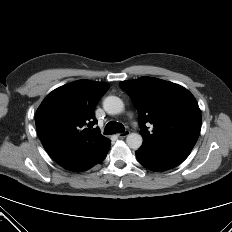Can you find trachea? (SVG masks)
<instances>
[{"instance_id": "1", "label": "trachea", "mask_w": 232, "mask_h": 232, "mask_svg": "<svg viewBox=\"0 0 232 232\" xmlns=\"http://www.w3.org/2000/svg\"><path fill=\"white\" fill-rule=\"evenodd\" d=\"M124 126L121 123H117L115 121H110L105 127V135H111L115 133H123Z\"/></svg>"}]
</instances>
